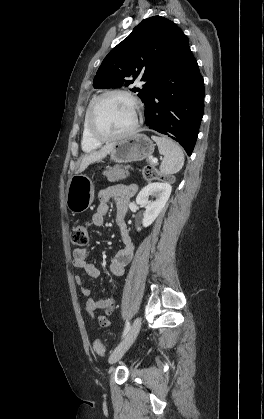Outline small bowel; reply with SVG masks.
I'll return each instance as SVG.
<instances>
[{
	"label": "small bowel",
	"instance_id": "obj_1",
	"mask_svg": "<svg viewBox=\"0 0 264 419\" xmlns=\"http://www.w3.org/2000/svg\"><path fill=\"white\" fill-rule=\"evenodd\" d=\"M135 191L136 186L133 184L115 185L102 189L99 193V205L92 216V222L95 226H103L105 216L109 210V203L115 202V220L119 226L124 244V247L116 253L110 264V270L115 276H123L125 274V269L131 262L134 254V245L125 225V215L128 210L129 199ZM73 265L92 278H98L101 275L100 270L93 263L87 261V251L83 248L74 250ZM75 282L81 288L85 299V310L90 317L98 322L100 329L109 327L111 321L108 316L114 310L117 296L111 294L106 299H94L91 289L84 284V280L80 275L75 276Z\"/></svg>",
	"mask_w": 264,
	"mask_h": 419
}]
</instances>
